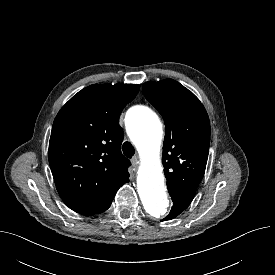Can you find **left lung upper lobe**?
<instances>
[{"instance_id":"5c2ea615","label":"left lung upper lobe","mask_w":275,"mask_h":275,"mask_svg":"<svg viewBox=\"0 0 275 275\" xmlns=\"http://www.w3.org/2000/svg\"><path fill=\"white\" fill-rule=\"evenodd\" d=\"M143 93L165 121L162 162L169 193L195 194L210 145V122L204 106L173 79L146 82Z\"/></svg>"}]
</instances>
